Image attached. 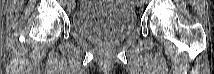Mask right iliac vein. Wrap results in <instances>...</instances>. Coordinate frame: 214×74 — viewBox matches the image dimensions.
I'll list each match as a JSON object with an SVG mask.
<instances>
[{
  "label": "right iliac vein",
  "instance_id": "63e3f726",
  "mask_svg": "<svg viewBox=\"0 0 214 74\" xmlns=\"http://www.w3.org/2000/svg\"><path fill=\"white\" fill-rule=\"evenodd\" d=\"M69 7H70L71 9H74V8H75V3H74V2H70Z\"/></svg>",
  "mask_w": 214,
  "mask_h": 74
}]
</instances>
